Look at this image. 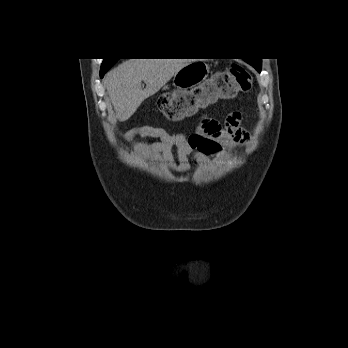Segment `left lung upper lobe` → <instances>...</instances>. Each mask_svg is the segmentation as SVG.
<instances>
[{"mask_svg": "<svg viewBox=\"0 0 348 348\" xmlns=\"http://www.w3.org/2000/svg\"><path fill=\"white\" fill-rule=\"evenodd\" d=\"M247 62L251 64L253 67H255L257 71H261V59L250 60Z\"/></svg>", "mask_w": 348, "mask_h": 348, "instance_id": "left-lung-upper-lobe-1", "label": "left lung upper lobe"}]
</instances>
